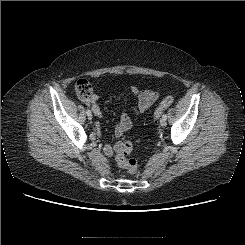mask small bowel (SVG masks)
I'll use <instances>...</instances> for the list:
<instances>
[{"label": "small bowel", "mask_w": 245, "mask_h": 245, "mask_svg": "<svg viewBox=\"0 0 245 245\" xmlns=\"http://www.w3.org/2000/svg\"><path fill=\"white\" fill-rule=\"evenodd\" d=\"M130 91L132 96L137 100L135 106L132 107L133 116L130 117L126 110L123 111L121 116V122L116 129V136L121 137V131H126L128 128L132 126L133 123L138 121L140 116L145 113L158 99V92L150 89L139 90L135 86L130 87ZM87 104L91 106L93 113L98 116L102 117V112L100 106L97 103V96L92 95L88 100H86ZM120 142L116 143L115 145H106L104 147V153L107 156H112L114 152L118 149Z\"/></svg>", "instance_id": "1"}]
</instances>
